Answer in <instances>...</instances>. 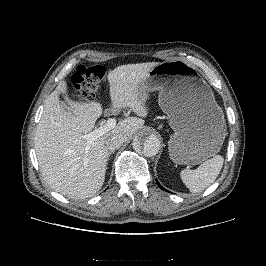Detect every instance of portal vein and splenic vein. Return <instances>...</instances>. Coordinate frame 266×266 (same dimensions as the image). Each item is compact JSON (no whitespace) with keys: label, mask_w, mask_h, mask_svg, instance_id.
<instances>
[{"label":"portal vein and splenic vein","mask_w":266,"mask_h":266,"mask_svg":"<svg viewBox=\"0 0 266 266\" xmlns=\"http://www.w3.org/2000/svg\"><path fill=\"white\" fill-rule=\"evenodd\" d=\"M115 126H116V120L114 118H110L107 120V122L104 125L100 126L99 128H96L95 130H93L88 134L82 135V138L87 141L89 147L94 140L104 135L109 130L113 129Z\"/></svg>","instance_id":"obj_1"}]
</instances>
